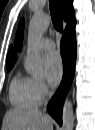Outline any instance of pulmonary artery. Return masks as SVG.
Returning <instances> with one entry per match:
<instances>
[{
    "mask_svg": "<svg viewBox=\"0 0 95 130\" xmlns=\"http://www.w3.org/2000/svg\"><path fill=\"white\" fill-rule=\"evenodd\" d=\"M39 47L42 50H52L55 47V44L52 40L47 39V38H43L40 42H39Z\"/></svg>",
    "mask_w": 95,
    "mask_h": 130,
    "instance_id": "obj_1",
    "label": "pulmonary artery"
}]
</instances>
